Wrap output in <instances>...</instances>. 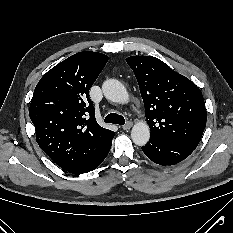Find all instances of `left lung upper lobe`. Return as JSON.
<instances>
[{"mask_svg":"<svg viewBox=\"0 0 233 233\" xmlns=\"http://www.w3.org/2000/svg\"><path fill=\"white\" fill-rule=\"evenodd\" d=\"M126 62L139 84L151 135L196 149L207 113L199 88L152 56H131Z\"/></svg>","mask_w":233,"mask_h":233,"instance_id":"left-lung-upper-lobe-1","label":"left lung upper lobe"}]
</instances>
